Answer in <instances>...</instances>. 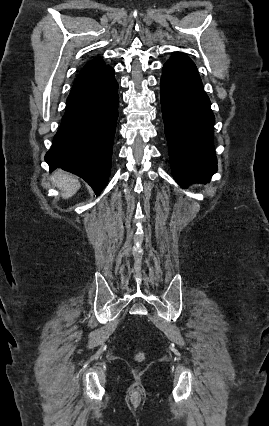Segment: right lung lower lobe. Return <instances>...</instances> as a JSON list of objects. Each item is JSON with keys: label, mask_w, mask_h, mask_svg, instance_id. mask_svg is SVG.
Listing matches in <instances>:
<instances>
[{"label": "right lung lower lobe", "mask_w": 269, "mask_h": 426, "mask_svg": "<svg viewBox=\"0 0 269 426\" xmlns=\"http://www.w3.org/2000/svg\"><path fill=\"white\" fill-rule=\"evenodd\" d=\"M118 83L109 65L80 73L67 98L65 114L45 155L50 169L82 177L99 195L111 169L118 118Z\"/></svg>", "instance_id": "1"}]
</instances>
